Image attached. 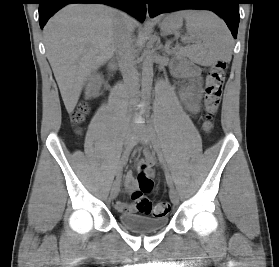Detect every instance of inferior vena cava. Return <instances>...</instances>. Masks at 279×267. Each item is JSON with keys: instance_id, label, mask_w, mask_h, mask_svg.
Returning <instances> with one entry per match:
<instances>
[{"instance_id": "1", "label": "inferior vena cava", "mask_w": 279, "mask_h": 267, "mask_svg": "<svg viewBox=\"0 0 279 267\" xmlns=\"http://www.w3.org/2000/svg\"><path fill=\"white\" fill-rule=\"evenodd\" d=\"M129 16L122 13V19L115 26L114 45L120 58L124 81L129 91L136 92L138 89V76L135 67V52L132 45L131 34L133 29L128 22Z\"/></svg>"}]
</instances>
